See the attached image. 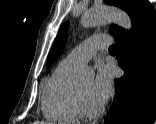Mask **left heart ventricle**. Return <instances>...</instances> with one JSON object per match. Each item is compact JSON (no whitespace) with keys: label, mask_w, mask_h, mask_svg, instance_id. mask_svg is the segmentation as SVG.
Wrapping results in <instances>:
<instances>
[{"label":"left heart ventricle","mask_w":156,"mask_h":124,"mask_svg":"<svg viewBox=\"0 0 156 124\" xmlns=\"http://www.w3.org/2000/svg\"><path fill=\"white\" fill-rule=\"evenodd\" d=\"M78 85L80 87V90L82 92V95L86 104L90 108H96L100 106V103L97 102V100L94 98L92 94V79L91 78L80 80L78 82Z\"/></svg>","instance_id":"1"}]
</instances>
